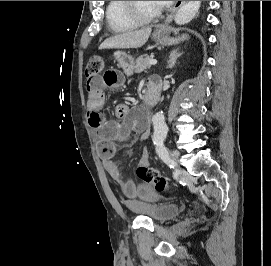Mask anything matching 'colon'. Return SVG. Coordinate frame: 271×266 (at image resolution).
Masks as SVG:
<instances>
[{"mask_svg": "<svg viewBox=\"0 0 271 266\" xmlns=\"http://www.w3.org/2000/svg\"><path fill=\"white\" fill-rule=\"evenodd\" d=\"M104 69V60L99 55L92 56L86 67L87 76L98 75ZM137 176L148 185L154 186L157 192H163L168 188L166 179L153 167L139 165L137 167Z\"/></svg>", "mask_w": 271, "mask_h": 266, "instance_id": "colon-1", "label": "colon"}]
</instances>
